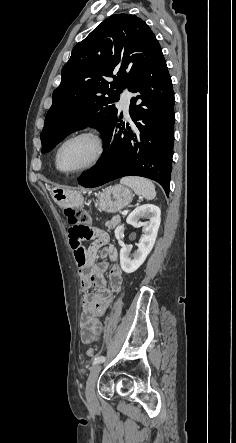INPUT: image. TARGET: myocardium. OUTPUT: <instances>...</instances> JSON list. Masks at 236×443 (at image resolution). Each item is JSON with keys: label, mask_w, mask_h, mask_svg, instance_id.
Segmentation results:
<instances>
[{"label": "myocardium", "mask_w": 236, "mask_h": 443, "mask_svg": "<svg viewBox=\"0 0 236 443\" xmlns=\"http://www.w3.org/2000/svg\"><path fill=\"white\" fill-rule=\"evenodd\" d=\"M81 137H87L90 138L96 147V151H95V155L93 157V159L85 166L78 168V169H74V170H63L60 167V153L61 150L63 149V147L70 141L77 139V138H81ZM106 151V143L105 140L102 136V134L95 130V129H91V128H86V129H82L79 130L77 132L72 133L71 135H69L68 137H66L58 146L56 154H55V164L57 169L64 173V174H68V175H73V174H82L85 172H88L92 169H94L96 166H98V164L101 162L104 154Z\"/></svg>", "instance_id": "f54148a6"}]
</instances>
